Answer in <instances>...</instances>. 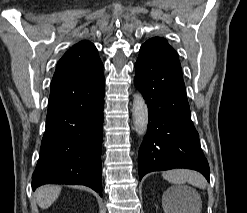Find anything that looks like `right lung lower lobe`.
<instances>
[{
  "label": "right lung lower lobe",
  "mask_w": 247,
  "mask_h": 213,
  "mask_svg": "<svg viewBox=\"0 0 247 213\" xmlns=\"http://www.w3.org/2000/svg\"><path fill=\"white\" fill-rule=\"evenodd\" d=\"M104 94L102 69L51 86L33 190L51 183L81 184L101 195Z\"/></svg>",
  "instance_id": "obj_1"
}]
</instances>
